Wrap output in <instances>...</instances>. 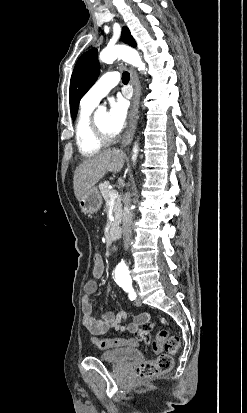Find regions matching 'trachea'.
I'll list each match as a JSON object with an SVG mask.
<instances>
[{"label":"trachea","instance_id":"obj_1","mask_svg":"<svg viewBox=\"0 0 247 413\" xmlns=\"http://www.w3.org/2000/svg\"><path fill=\"white\" fill-rule=\"evenodd\" d=\"M130 80V75L128 72L124 71V73H122V82L126 85Z\"/></svg>","mask_w":247,"mask_h":413}]
</instances>
